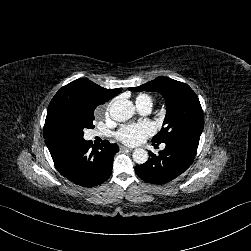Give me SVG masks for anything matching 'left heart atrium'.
<instances>
[{
    "label": "left heart atrium",
    "instance_id": "obj_1",
    "mask_svg": "<svg viewBox=\"0 0 251 251\" xmlns=\"http://www.w3.org/2000/svg\"><path fill=\"white\" fill-rule=\"evenodd\" d=\"M155 132L152 123L144 122L140 124L122 125L115 133L118 141L124 144H136L144 141Z\"/></svg>",
    "mask_w": 251,
    "mask_h": 251
}]
</instances>
